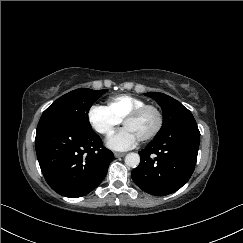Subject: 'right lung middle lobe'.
<instances>
[{
  "instance_id": "right-lung-middle-lobe-1",
  "label": "right lung middle lobe",
  "mask_w": 243,
  "mask_h": 243,
  "mask_svg": "<svg viewBox=\"0 0 243 243\" xmlns=\"http://www.w3.org/2000/svg\"><path fill=\"white\" fill-rule=\"evenodd\" d=\"M107 90L77 89L58 98L42 114L37 130L47 126H66L92 131L88 112L92 104Z\"/></svg>"
}]
</instances>
